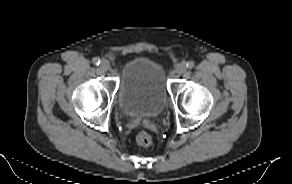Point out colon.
Wrapping results in <instances>:
<instances>
[{"mask_svg":"<svg viewBox=\"0 0 292 184\" xmlns=\"http://www.w3.org/2000/svg\"><path fill=\"white\" fill-rule=\"evenodd\" d=\"M152 136L146 131H140L136 135V142L140 146H150L152 144Z\"/></svg>","mask_w":292,"mask_h":184,"instance_id":"1","label":"colon"}]
</instances>
